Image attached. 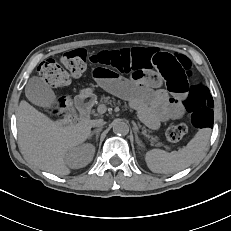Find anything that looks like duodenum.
Masks as SVG:
<instances>
[{"label": "duodenum", "instance_id": "duodenum-1", "mask_svg": "<svg viewBox=\"0 0 231 231\" xmlns=\"http://www.w3.org/2000/svg\"><path fill=\"white\" fill-rule=\"evenodd\" d=\"M92 105H93V100L89 96H83L78 99L77 106L79 108V111L82 115L83 120H86L89 118Z\"/></svg>", "mask_w": 231, "mask_h": 231}]
</instances>
